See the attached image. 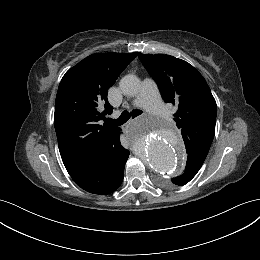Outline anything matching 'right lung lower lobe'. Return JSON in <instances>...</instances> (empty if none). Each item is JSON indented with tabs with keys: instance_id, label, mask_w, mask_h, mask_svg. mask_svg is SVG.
<instances>
[{
	"instance_id": "1",
	"label": "right lung lower lobe",
	"mask_w": 260,
	"mask_h": 260,
	"mask_svg": "<svg viewBox=\"0 0 260 260\" xmlns=\"http://www.w3.org/2000/svg\"><path fill=\"white\" fill-rule=\"evenodd\" d=\"M128 157L129 151L121 145L119 138L117 146L92 158L70 176L82 189L106 195L121 185Z\"/></svg>"
}]
</instances>
